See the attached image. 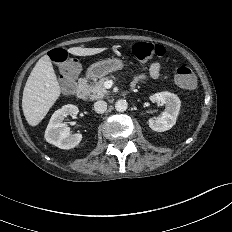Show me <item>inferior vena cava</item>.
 <instances>
[{
    "instance_id": "1",
    "label": "inferior vena cava",
    "mask_w": 232,
    "mask_h": 232,
    "mask_svg": "<svg viewBox=\"0 0 232 232\" xmlns=\"http://www.w3.org/2000/svg\"><path fill=\"white\" fill-rule=\"evenodd\" d=\"M94 110L99 114L104 113L107 110V103L105 101H102V100L95 102L94 103Z\"/></svg>"
}]
</instances>
